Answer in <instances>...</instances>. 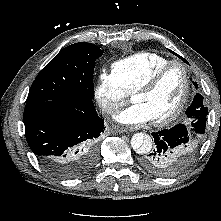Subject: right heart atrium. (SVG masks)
<instances>
[{"instance_id":"obj_1","label":"right heart atrium","mask_w":221,"mask_h":221,"mask_svg":"<svg viewBox=\"0 0 221 221\" xmlns=\"http://www.w3.org/2000/svg\"><path fill=\"white\" fill-rule=\"evenodd\" d=\"M95 99L106 114H114L127 100L128 93L112 72L101 71L94 90Z\"/></svg>"}]
</instances>
